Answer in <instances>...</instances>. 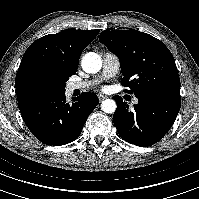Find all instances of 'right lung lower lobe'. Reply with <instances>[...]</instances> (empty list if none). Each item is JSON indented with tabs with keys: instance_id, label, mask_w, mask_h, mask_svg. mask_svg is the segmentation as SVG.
<instances>
[{
	"instance_id": "98d812e1",
	"label": "right lung lower lobe",
	"mask_w": 199,
	"mask_h": 199,
	"mask_svg": "<svg viewBox=\"0 0 199 199\" xmlns=\"http://www.w3.org/2000/svg\"><path fill=\"white\" fill-rule=\"evenodd\" d=\"M98 103L95 94L84 92L69 104L64 92L28 100L18 106L26 126L39 141L60 146L79 137L88 116Z\"/></svg>"
}]
</instances>
